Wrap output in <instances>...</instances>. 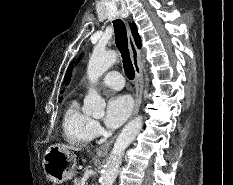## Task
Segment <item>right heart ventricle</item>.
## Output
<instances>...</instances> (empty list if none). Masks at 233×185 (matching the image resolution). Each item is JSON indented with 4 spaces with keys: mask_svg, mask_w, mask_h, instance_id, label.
Here are the masks:
<instances>
[{
    "mask_svg": "<svg viewBox=\"0 0 233 185\" xmlns=\"http://www.w3.org/2000/svg\"><path fill=\"white\" fill-rule=\"evenodd\" d=\"M92 119L81 111L78 100H72L63 115V132L66 141L72 145H86L91 139Z\"/></svg>",
    "mask_w": 233,
    "mask_h": 185,
    "instance_id": "obj_1",
    "label": "right heart ventricle"
}]
</instances>
